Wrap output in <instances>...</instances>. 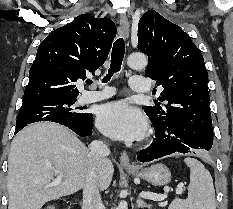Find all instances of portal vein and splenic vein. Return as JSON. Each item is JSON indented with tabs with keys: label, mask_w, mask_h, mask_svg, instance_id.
<instances>
[{
	"label": "portal vein and splenic vein",
	"mask_w": 233,
	"mask_h": 209,
	"mask_svg": "<svg viewBox=\"0 0 233 209\" xmlns=\"http://www.w3.org/2000/svg\"><path fill=\"white\" fill-rule=\"evenodd\" d=\"M61 180H62V174L57 171V177L55 180L52 181V185L56 186V185L60 184ZM182 193H183V189L180 186L176 189V194L181 195ZM140 196L144 199H150V200H154V201H163L167 198L166 194H154L151 192H142L140 194ZM166 204H167V201H164V202H161L159 205L165 206Z\"/></svg>",
	"instance_id": "18ae733b"
}]
</instances>
